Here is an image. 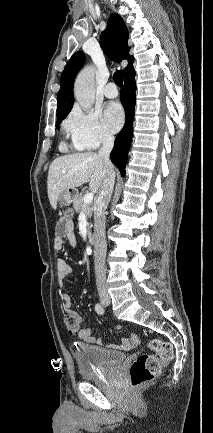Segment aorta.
I'll return each instance as SVG.
<instances>
[{
  "mask_svg": "<svg viewBox=\"0 0 213 433\" xmlns=\"http://www.w3.org/2000/svg\"><path fill=\"white\" fill-rule=\"evenodd\" d=\"M74 95L84 110L92 107L95 100L94 68L92 66L86 67L78 74L74 84Z\"/></svg>",
  "mask_w": 213,
  "mask_h": 433,
  "instance_id": "obj_1",
  "label": "aorta"
}]
</instances>
